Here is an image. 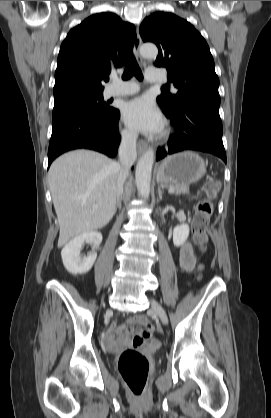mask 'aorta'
Wrapping results in <instances>:
<instances>
[{
	"label": "aorta",
	"instance_id": "obj_1",
	"mask_svg": "<svg viewBox=\"0 0 271 418\" xmlns=\"http://www.w3.org/2000/svg\"><path fill=\"white\" fill-rule=\"evenodd\" d=\"M140 53L145 58H156L158 49L154 44H144ZM155 159L154 150L149 148L138 160L136 165L135 180L139 194L147 199L150 194L151 173Z\"/></svg>",
	"mask_w": 271,
	"mask_h": 418
}]
</instances>
